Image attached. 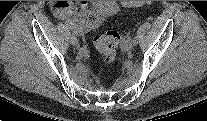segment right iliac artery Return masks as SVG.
Returning a JSON list of instances; mask_svg holds the SVG:
<instances>
[{"label":"right iliac artery","instance_id":"right-iliac-artery-1","mask_svg":"<svg viewBox=\"0 0 207 121\" xmlns=\"http://www.w3.org/2000/svg\"><path fill=\"white\" fill-rule=\"evenodd\" d=\"M70 29L72 30L73 34H79L77 28L73 24H69ZM82 50L86 49L85 45L82 46Z\"/></svg>","mask_w":207,"mask_h":121}]
</instances>
